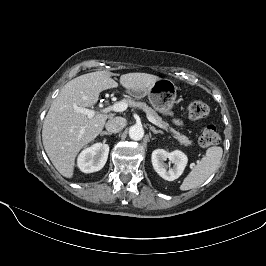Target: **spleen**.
Here are the masks:
<instances>
[{"mask_svg": "<svg viewBox=\"0 0 266 266\" xmlns=\"http://www.w3.org/2000/svg\"><path fill=\"white\" fill-rule=\"evenodd\" d=\"M223 150L213 146L207 149L203 158L197 162L180 185V190L187 191L204 183L219 167Z\"/></svg>", "mask_w": 266, "mask_h": 266, "instance_id": "1", "label": "spleen"}]
</instances>
